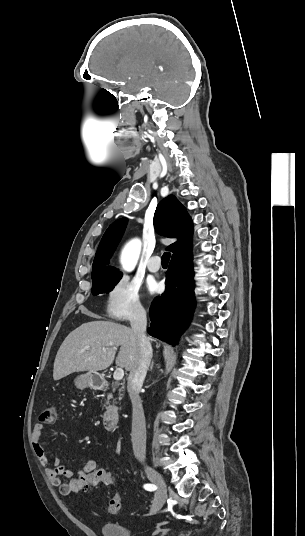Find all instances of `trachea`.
I'll return each mask as SVG.
<instances>
[{"mask_svg":"<svg viewBox=\"0 0 305 536\" xmlns=\"http://www.w3.org/2000/svg\"><path fill=\"white\" fill-rule=\"evenodd\" d=\"M170 257H171V253H169V251H166L162 255V263H169Z\"/></svg>","mask_w":305,"mask_h":536,"instance_id":"trachea-1","label":"trachea"}]
</instances>
